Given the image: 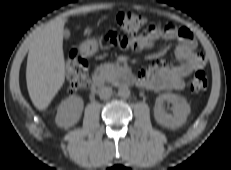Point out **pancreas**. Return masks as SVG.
<instances>
[{
	"label": "pancreas",
	"mask_w": 231,
	"mask_h": 170,
	"mask_svg": "<svg viewBox=\"0 0 231 170\" xmlns=\"http://www.w3.org/2000/svg\"><path fill=\"white\" fill-rule=\"evenodd\" d=\"M116 69H117V66L113 63H106L103 65H100L96 68L94 77L102 78L105 80L111 79L114 76Z\"/></svg>",
	"instance_id": "1"
}]
</instances>
